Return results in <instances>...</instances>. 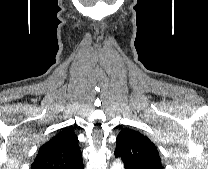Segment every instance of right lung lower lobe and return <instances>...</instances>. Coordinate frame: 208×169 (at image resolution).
I'll list each match as a JSON object with an SVG mask.
<instances>
[{
  "instance_id": "obj_1",
  "label": "right lung lower lobe",
  "mask_w": 208,
  "mask_h": 169,
  "mask_svg": "<svg viewBox=\"0 0 208 169\" xmlns=\"http://www.w3.org/2000/svg\"><path fill=\"white\" fill-rule=\"evenodd\" d=\"M83 161L77 165H75L72 169H83Z\"/></svg>"
}]
</instances>
